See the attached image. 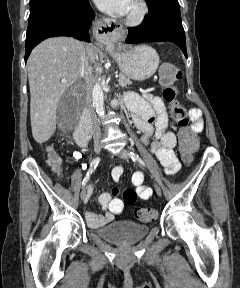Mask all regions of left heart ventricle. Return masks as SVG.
Wrapping results in <instances>:
<instances>
[{"label":"left heart ventricle","instance_id":"obj_1","mask_svg":"<svg viewBox=\"0 0 240 288\" xmlns=\"http://www.w3.org/2000/svg\"><path fill=\"white\" fill-rule=\"evenodd\" d=\"M134 10H135V6H134V4L132 3L131 6H130V9H129V11H128V13L133 12Z\"/></svg>","mask_w":240,"mask_h":288}]
</instances>
